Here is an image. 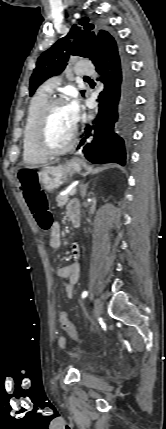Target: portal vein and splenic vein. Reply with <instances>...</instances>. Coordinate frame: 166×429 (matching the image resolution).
Instances as JSON below:
<instances>
[{
	"instance_id": "obj_1",
	"label": "portal vein and splenic vein",
	"mask_w": 166,
	"mask_h": 429,
	"mask_svg": "<svg viewBox=\"0 0 166 429\" xmlns=\"http://www.w3.org/2000/svg\"><path fill=\"white\" fill-rule=\"evenodd\" d=\"M76 191H77V189H76V188H73V189L70 191L69 195H70V196H74V195L76 194Z\"/></svg>"
}]
</instances>
